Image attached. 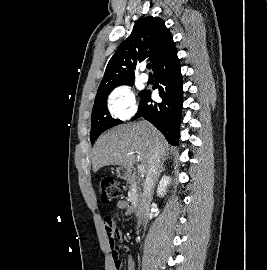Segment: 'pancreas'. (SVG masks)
Masks as SVG:
<instances>
[{"label":"pancreas","mask_w":267,"mask_h":270,"mask_svg":"<svg viewBox=\"0 0 267 270\" xmlns=\"http://www.w3.org/2000/svg\"><path fill=\"white\" fill-rule=\"evenodd\" d=\"M139 199H140L139 187L137 186L136 182H131V186L128 191V200L133 205H136L139 203Z\"/></svg>","instance_id":"cf45deb5"}]
</instances>
